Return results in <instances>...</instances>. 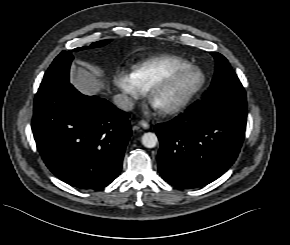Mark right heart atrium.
Segmentation results:
<instances>
[{
    "label": "right heart atrium",
    "mask_w": 290,
    "mask_h": 245,
    "mask_svg": "<svg viewBox=\"0 0 290 245\" xmlns=\"http://www.w3.org/2000/svg\"><path fill=\"white\" fill-rule=\"evenodd\" d=\"M114 84L122 93L127 108H131L144 95V91L136 82L132 72L118 71L114 77Z\"/></svg>",
    "instance_id": "obj_1"
}]
</instances>
